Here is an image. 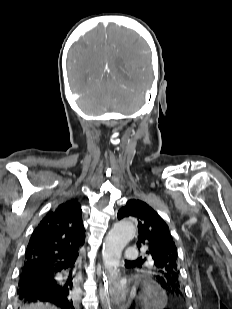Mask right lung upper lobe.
Listing matches in <instances>:
<instances>
[{
	"instance_id": "cb5924a9",
	"label": "right lung upper lobe",
	"mask_w": 232,
	"mask_h": 309,
	"mask_svg": "<svg viewBox=\"0 0 232 309\" xmlns=\"http://www.w3.org/2000/svg\"><path fill=\"white\" fill-rule=\"evenodd\" d=\"M84 240L80 204L76 200L67 201L49 211L34 229L26 248L25 262L37 263L41 269L75 263Z\"/></svg>"
}]
</instances>
